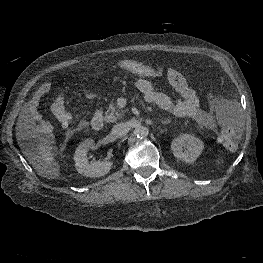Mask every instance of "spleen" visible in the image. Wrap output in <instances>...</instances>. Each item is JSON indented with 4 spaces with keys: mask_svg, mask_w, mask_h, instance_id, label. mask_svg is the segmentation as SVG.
Wrapping results in <instances>:
<instances>
[{
    "mask_svg": "<svg viewBox=\"0 0 263 263\" xmlns=\"http://www.w3.org/2000/svg\"><path fill=\"white\" fill-rule=\"evenodd\" d=\"M223 160H222V158H218L217 160H216V163H221Z\"/></svg>",
    "mask_w": 263,
    "mask_h": 263,
    "instance_id": "3e777b00",
    "label": "spleen"
}]
</instances>
